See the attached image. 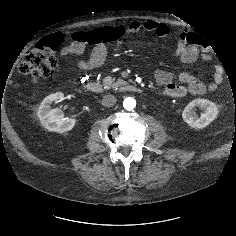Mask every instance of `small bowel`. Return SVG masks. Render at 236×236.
I'll return each instance as SVG.
<instances>
[{
  "label": "small bowel",
  "mask_w": 236,
  "mask_h": 236,
  "mask_svg": "<svg viewBox=\"0 0 236 236\" xmlns=\"http://www.w3.org/2000/svg\"><path fill=\"white\" fill-rule=\"evenodd\" d=\"M124 34L134 33L139 31L152 32L160 37H168L171 34L169 26L162 22L153 20L132 21L122 27ZM62 36V34H60ZM173 36L176 39V49L174 57L183 64L193 63L202 56L208 59V55L201 54L196 46V36L191 32H174ZM87 44L79 41H73L63 45L60 48L62 57L78 56L84 53ZM107 57V48L104 45H99L93 48L87 59H78L75 61L77 68L83 71H91L100 67ZM155 80L158 85L163 87L164 95L171 98H183L188 94L200 95L207 89L214 91L218 88L222 80V71L217 69L214 73L212 81L206 85L197 75L190 72H182L178 76L180 84L174 82V76L171 72L158 70L155 73Z\"/></svg>",
  "instance_id": "c3829d8e"
}]
</instances>
